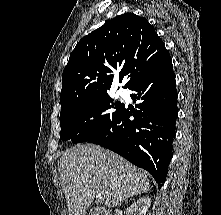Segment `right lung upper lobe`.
<instances>
[{
  "instance_id": "obj_1",
  "label": "right lung upper lobe",
  "mask_w": 221,
  "mask_h": 215,
  "mask_svg": "<svg viewBox=\"0 0 221 215\" xmlns=\"http://www.w3.org/2000/svg\"><path fill=\"white\" fill-rule=\"evenodd\" d=\"M169 51L150 23L133 13L106 22L83 37L62 74L61 107L108 93L114 72L129 88L169 59Z\"/></svg>"
}]
</instances>
